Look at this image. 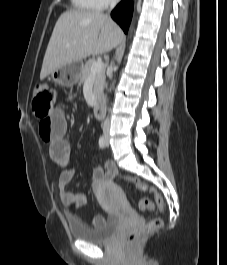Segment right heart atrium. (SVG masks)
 Instances as JSON below:
<instances>
[{
  "mask_svg": "<svg viewBox=\"0 0 227 265\" xmlns=\"http://www.w3.org/2000/svg\"><path fill=\"white\" fill-rule=\"evenodd\" d=\"M114 0H95L97 9H102L110 5Z\"/></svg>",
  "mask_w": 227,
  "mask_h": 265,
  "instance_id": "d8ad5b80",
  "label": "right heart atrium"
}]
</instances>
